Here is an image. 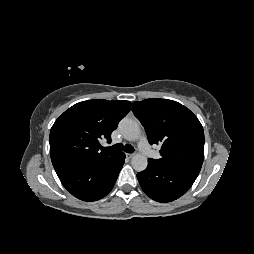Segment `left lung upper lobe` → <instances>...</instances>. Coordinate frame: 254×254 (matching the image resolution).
Here are the masks:
<instances>
[{"label": "left lung upper lobe", "mask_w": 254, "mask_h": 254, "mask_svg": "<svg viewBox=\"0 0 254 254\" xmlns=\"http://www.w3.org/2000/svg\"><path fill=\"white\" fill-rule=\"evenodd\" d=\"M134 115L147 133L148 141L160 144L155 163L199 173L204 159V131L198 118L182 104L151 98L132 104Z\"/></svg>", "instance_id": "obj_1"}]
</instances>
